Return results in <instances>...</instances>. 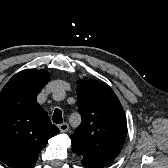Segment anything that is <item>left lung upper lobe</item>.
<instances>
[{
	"label": "left lung upper lobe",
	"instance_id": "left-lung-upper-lobe-1",
	"mask_svg": "<svg viewBox=\"0 0 168 168\" xmlns=\"http://www.w3.org/2000/svg\"><path fill=\"white\" fill-rule=\"evenodd\" d=\"M77 106L82 123L71 136L72 151L82 163L103 168L117 157L127 136L122 105L107 85L87 80L79 81Z\"/></svg>",
	"mask_w": 168,
	"mask_h": 168
}]
</instances>
